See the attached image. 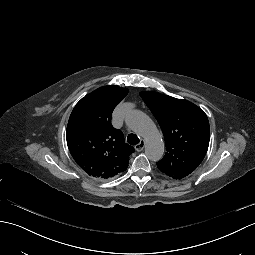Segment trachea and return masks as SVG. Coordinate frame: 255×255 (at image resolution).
<instances>
[{
  "mask_svg": "<svg viewBox=\"0 0 255 255\" xmlns=\"http://www.w3.org/2000/svg\"><path fill=\"white\" fill-rule=\"evenodd\" d=\"M127 141L131 145H136L140 142L139 138L134 134H129L127 137Z\"/></svg>",
  "mask_w": 255,
  "mask_h": 255,
  "instance_id": "obj_1",
  "label": "trachea"
}]
</instances>
